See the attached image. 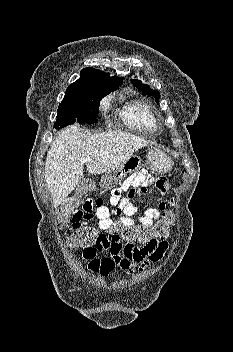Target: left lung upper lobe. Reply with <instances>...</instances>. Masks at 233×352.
I'll return each mask as SVG.
<instances>
[{"instance_id":"5c2ea615","label":"left lung upper lobe","mask_w":233,"mask_h":352,"mask_svg":"<svg viewBox=\"0 0 233 352\" xmlns=\"http://www.w3.org/2000/svg\"><path fill=\"white\" fill-rule=\"evenodd\" d=\"M131 82L134 86H136L139 90H141L144 94H148L150 96L155 97V101L159 103L160 93L157 90H153L148 85L142 84L140 80L131 79Z\"/></svg>"}]
</instances>
